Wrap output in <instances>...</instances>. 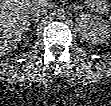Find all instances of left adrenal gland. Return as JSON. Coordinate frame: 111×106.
Wrapping results in <instances>:
<instances>
[{
  "instance_id": "a2214340",
  "label": "left adrenal gland",
  "mask_w": 111,
  "mask_h": 106,
  "mask_svg": "<svg viewBox=\"0 0 111 106\" xmlns=\"http://www.w3.org/2000/svg\"><path fill=\"white\" fill-rule=\"evenodd\" d=\"M70 9H72V10H76V9H86L85 7H83V6H81V5H72V6H70Z\"/></svg>"
}]
</instances>
